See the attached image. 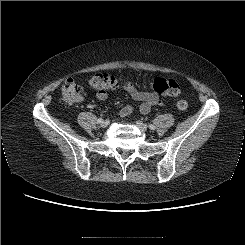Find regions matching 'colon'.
<instances>
[{
	"label": "colon",
	"mask_w": 245,
	"mask_h": 245,
	"mask_svg": "<svg viewBox=\"0 0 245 245\" xmlns=\"http://www.w3.org/2000/svg\"><path fill=\"white\" fill-rule=\"evenodd\" d=\"M130 81L120 75H113L107 73H96L88 80V85L97 91H108L123 86ZM157 94L166 96H177L180 93L179 84L173 79L155 78L148 83ZM81 93V86L74 79H67L61 90L62 99L67 104L75 103L79 100ZM177 108L185 111L188 108V103L185 100L177 102Z\"/></svg>",
	"instance_id": "obj_1"
}]
</instances>
